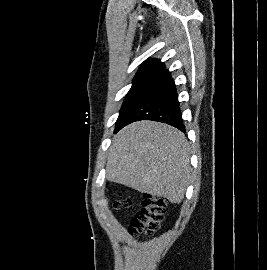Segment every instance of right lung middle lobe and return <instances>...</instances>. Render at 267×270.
I'll return each mask as SVG.
<instances>
[{"instance_id": "right-lung-middle-lobe-1", "label": "right lung middle lobe", "mask_w": 267, "mask_h": 270, "mask_svg": "<svg viewBox=\"0 0 267 270\" xmlns=\"http://www.w3.org/2000/svg\"><path fill=\"white\" fill-rule=\"evenodd\" d=\"M154 78L155 76H144L135 78L133 80L132 87L127 93V96L122 104L115 130H117L123 124L128 111L137 102L141 95L148 89Z\"/></svg>"}]
</instances>
